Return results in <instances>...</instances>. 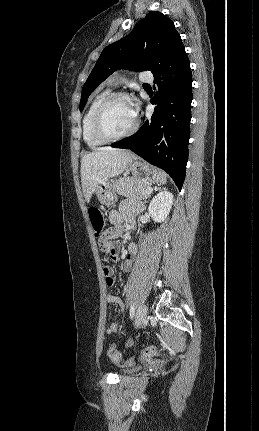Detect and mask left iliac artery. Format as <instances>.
I'll use <instances>...</instances> for the list:
<instances>
[{
    "label": "left iliac artery",
    "instance_id": "obj_1",
    "mask_svg": "<svg viewBox=\"0 0 259 431\" xmlns=\"http://www.w3.org/2000/svg\"><path fill=\"white\" fill-rule=\"evenodd\" d=\"M134 315H135V307H134V305H131V308H130V317H131V319L134 317Z\"/></svg>",
    "mask_w": 259,
    "mask_h": 431
}]
</instances>
